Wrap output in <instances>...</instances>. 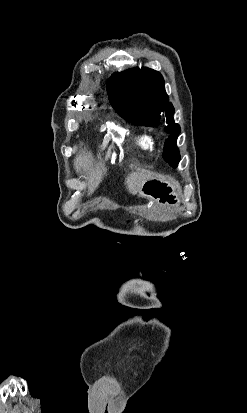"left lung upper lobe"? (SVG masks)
Here are the masks:
<instances>
[{"instance_id": "left-lung-upper-lobe-1", "label": "left lung upper lobe", "mask_w": 247, "mask_h": 413, "mask_svg": "<svg viewBox=\"0 0 247 413\" xmlns=\"http://www.w3.org/2000/svg\"><path fill=\"white\" fill-rule=\"evenodd\" d=\"M107 92L114 109L135 125L155 127L166 115L168 125L164 130L170 136L163 158L176 167L180 160L176 141L181 129L173 120L174 107L169 102L162 75L146 67L115 73L107 82Z\"/></svg>"}]
</instances>
